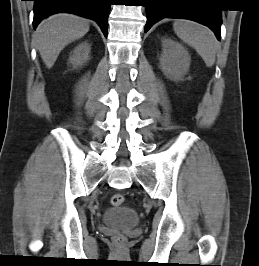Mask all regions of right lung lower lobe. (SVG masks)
Returning <instances> with one entry per match:
<instances>
[{
	"mask_svg": "<svg viewBox=\"0 0 259 266\" xmlns=\"http://www.w3.org/2000/svg\"><path fill=\"white\" fill-rule=\"evenodd\" d=\"M33 27L39 22L58 12H68L92 19L98 23L105 37H107L108 16L111 0H33Z\"/></svg>",
	"mask_w": 259,
	"mask_h": 266,
	"instance_id": "obj_1",
	"label": "right lung lower lobe"
}]
</instances>
